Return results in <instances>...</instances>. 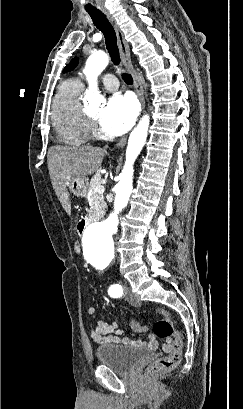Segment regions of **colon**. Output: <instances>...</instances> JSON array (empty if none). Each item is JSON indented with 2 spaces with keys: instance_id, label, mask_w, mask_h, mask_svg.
<instances>
[{
  "instance_id": "5ec220e1",
  "label": "colon",
  "mask_w": 243,
  "mask_h": 409,
  "mask_svg": "<svg viewBox=\"0 0 243 409\" xmlns=\"http://www.w3.org/2000/svg\"><path fill=\"white\" fill-rule=\"evenodd\" d=\"M73 249L76 253L80 252V243L75 241ZM158 312L162 315L153 326V330L156 336L164 339V344L171 345V350L167 356L161 357L154 361L149 367V373L152 375L168 372L175 368L180 360L183 349V339L176 328L170 313L165 309H158ZM131 328L137 332L146 331L147 326L141 321L135 320L131 322Z\"/></svg>"
}]
</instances>
